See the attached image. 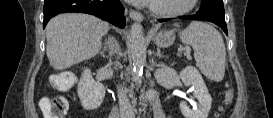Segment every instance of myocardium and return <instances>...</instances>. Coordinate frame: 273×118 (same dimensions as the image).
Instances as JSON below:
<instances>
[{
    "label": "myocardium",
    "instance_id": "obj_1",
    "mask_svg": "<svg viewBox=\"0 0 273 118\" xmlns=\"http://www.w3.org/2000/svg\"><path fill=\"white\" fill-rule=\"evenodd\" d=\"M197 0H188L186 5L180 9H159L157 8L154 4L150 6V11L159 17H164V18H172V17H177V16H181L184 15L188 12H190L195 4H196Z\"/></svg>",
    "mask_w": 273,
    "mask_h": 118
}]
</instances>
